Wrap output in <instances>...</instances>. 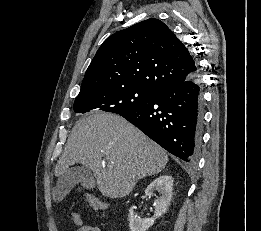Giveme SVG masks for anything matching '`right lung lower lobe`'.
<instances>
[{"label": "right lung lower lobe", "instance_id": "obj_1", "mask_svg": "<svg viewBox=\"0 0 261 231\" xmlns=\"http://www.w3.org/2000/svg\"><path fill=\"white\" fill-rule=\"evenodd\" d=\"M121 116L171 154L194 163L203 121L198 73L160 90L150 102Z\"/></svg>", "mask_w": 261, "mask_h": 231}]
</instances>
